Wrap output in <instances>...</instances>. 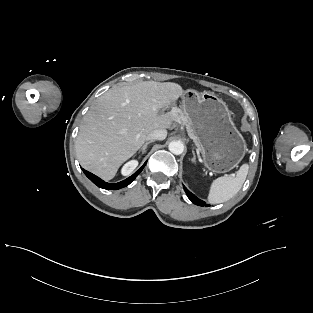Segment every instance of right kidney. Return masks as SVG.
<instances>
[{"instance_id": "right-kidney-1", "label": "right kidney", "mask_w": 313, "mask_h": 313, "mask_svg": "<svg viewBox=\"0 0 313 313\" xmlns=\"http://www.w3.org/2000/svg\"><path fill=\"white\" fill-rule=\"evenodd\" d=\"M137 165H138L137 160H131L123 166L121 173L125 176L129 175L134 171V169L137 167Z\"/></svg>"}]
</instances>
